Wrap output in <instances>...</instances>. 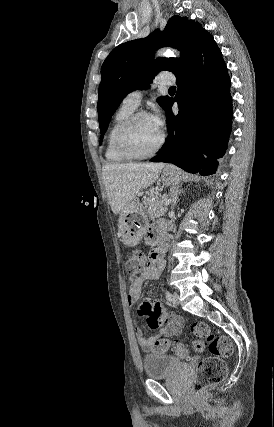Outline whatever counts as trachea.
Masks as SVG:
<instances>
[{
  "mask_svg": "<svg viewBox=\"0 0 274 427\" xmlns=\"http://www.w3.org/2000/svg\"><path fill=\"white\" fill-rule=\"evenodd\" d=\"M169 90H176V87H170Z\"/></svg>",
  "mask_w": 274,
  "mask_h": 427,
  "instance_id": "trachea-1",
  "label": "trachea"
}]
</instances>
